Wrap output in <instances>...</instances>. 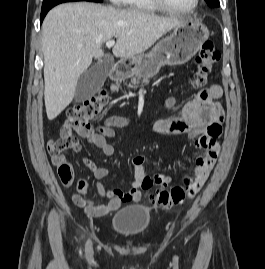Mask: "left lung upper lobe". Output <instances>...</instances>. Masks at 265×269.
Here are the masks:
<instances>
[{"label":"left lung upper lobe","instance_id":"left-lung-upper-lobe-1","mask_svg":"<svg viewBox=\"0 0 265 269\" xmlns=\"http://www.w3.org/2000/svg\"><path fill=\"white\" fill-rule=\"evenodd\" d=\"M210 7H219V0H205Z\"/></svg>","mask_w":265,"mask_h":269}]
</instances>
